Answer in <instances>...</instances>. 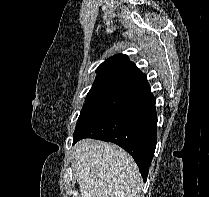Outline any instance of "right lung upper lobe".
<instances>
[{"label": "right lung upper lobe", "mask_w": 209, "mask_h": 197, "mask_svg": "<svg viewBox=\"0 0 209 197\" xmlns=\"http://www.w3.org/2000/svg\"><path fill=\"white\" fill-rule=\"evenodd\" d=\"M96 73L94 83L118 84L139 93L150 89L146 75L125 54H116L108 58L99 65Z\"/></svg>", "instance_id": "1"}]
</instances>
